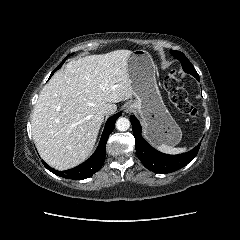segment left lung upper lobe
Instances as JSON below:
<instances>
[{"mask_svg": "<svg viewBox=\"0 0 240 240\" xmlns=\"http://www.w3.org/2000/svg\"><path fill=\"white\" fill-rule=\"evenodd\" d=\"M171 54L181 62L182 68L186 73H189L194 77L198 75L195 68L191 64V62L187 59V57L182 52L171 50Z\"/></svg>", "mask_w": 240, "mask_h": 240, "instance_id": "1", "label": "left lung upper lobe"}]
</instances>
